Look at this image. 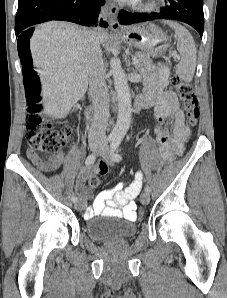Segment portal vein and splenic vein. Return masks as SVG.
I'll list each match as a JSON object with an SVG mask.
<instances>
[{
  "instance_id": "portal-vein-and-splenic-vein-1",
  "label": "portal vein and splenic vein",
  "mask_w": 227,
  "mask_h": 298,
  "mask_svg": "<svg viewBox=\"0 0 227 298\" xmlns=\"http://www.w3.org/2000/svg\"><path fill=\"white\" fill-rule=\"evenodd\" d=\"M176 55V54H175ZM138 63V59L136 57L133 56L132 58V64L136 65Z\"/></svg>"
}]
</instances>
